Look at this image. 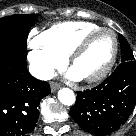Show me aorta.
<instances>
[{
	"mask_svg": "<svg viewBox=\"0 0 136 136\" xmlns=\"http://www.w3.org/2000/svg\"><path fill=\"white\" fill-rule=\"evenodd\" d=\"M58 99L63 105L71 106L75 102V95L71 89L62 88L58 92Z\"/></svg>",
	"mask_w": 136,
	"mask_h": 136,
	"instance_id": "obj_1",
	"label": "aorta"
}]
</instances>
